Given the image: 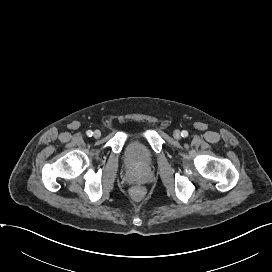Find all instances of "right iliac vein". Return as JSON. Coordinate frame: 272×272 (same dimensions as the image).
Instances as JSON below:
<instances>
[{
  "mask_svg": "<svg viewBox=\"0 0 272 272\" xmlns=\"http://www.w3.org/2000/svg\"><path fill=\"white\" fill-rule=\"evenodd\" d=\"M93 136L94 138H100L101 132L99 130H95Z\"/></svg>",
  "mask_w": 272,
  "mask_h": 272,
  "instance_id": "63e3f726",
  "label": "right iliac vein"
}]
</instances>
